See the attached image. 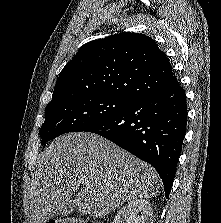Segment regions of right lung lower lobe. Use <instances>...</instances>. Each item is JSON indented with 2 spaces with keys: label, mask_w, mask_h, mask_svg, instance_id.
I'll list each match as a JSON object with an SVG mask.
<instances>
[{
  "label": "right lung lower lobe",
  "mask_w": 221,
  "mask_h": 223,
  "mask_svg": "<svg viewBox=\"0 0 221 223\" xmlns=\"http://www.w3.org/2000/svg\"><path fill=\"white\" fill-rule=\"evenodd\" d=\"M186 126V96L178 84L133 101L120 114L86 132L99 134L151 164L160 175L168 198Z\"/></svg>",
  "instance_id": "right-lung-lower-lobe-1"
}]
</instances>
